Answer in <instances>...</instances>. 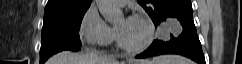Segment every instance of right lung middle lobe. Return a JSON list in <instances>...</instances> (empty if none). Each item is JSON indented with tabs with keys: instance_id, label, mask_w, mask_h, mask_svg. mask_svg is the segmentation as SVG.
<instances>
[{
	"instance_id": "1",
	"label": "right lung middle lobe",
	"mask_w": 242,
	"mask_h": 64,
	"mask_svg": "<svg viewBox=\"0 0 242 64\" xmlns=\"http://www.w3.org/2000/svg\"><path fill=\"white\" fill-rule=\"evenodd\" d=\"M86 11L44 16L40 49V64L63 50L79 51V30Z\"/></svg>"
}]
</instances>
